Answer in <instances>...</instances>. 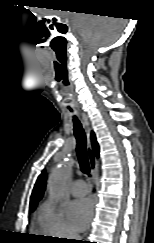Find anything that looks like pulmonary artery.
I'll list each match as a JSON object with an SVG mask.
<instances>
[{"instance_id": "obj_1", "label": "pulmonary artery", "mask_w": 154, "mask_h": 243, "mask_svg": "<svg viewBox=\"0 0 154 243\" xmlns=\"http://www.w3.org/2000/svg\"><path fill=\"white\" fill-rule=\"evenodd\" d=\"M71 192L74 196H82L88 192V186L84 180H77L73 183Z\"/></svg>"}]
</instances>
